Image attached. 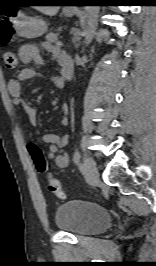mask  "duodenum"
Returning <instances> with one entry per match:
<instances>
[{
	"instance_id": "410a0bca",
	"label": "duodenum",
	"mask_w": 156,
	"mask_h": 266,
	"mask_svg": "<svg viewBox=\"0 0 156 266\" xmlns=\"http://www.w3.org/2000/svg\"><path fill=\"white\" fill-rule=\"evenodd\" d=\"M61 67L64 79L69 81L72 78L74 71L73 62L71 58H69L68 56L64 58L61 62Z\"/></svg>"
}]
</instances>
